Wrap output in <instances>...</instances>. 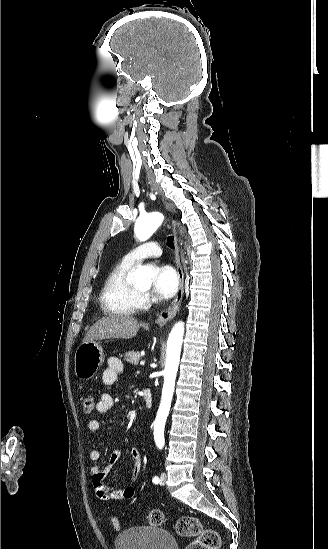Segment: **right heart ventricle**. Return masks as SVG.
I'll return each instance as SVG.
<instances>
[{"label":"right heart ventricle","instance_id":"1","mask_svg":"<svg viewBox=\"0 0 328 549\" xmlns=\"http://www.w3.org/2000/svg\"><path fill=\"white\" fill-rule=\"evenodd\" d=\"M138 263L124 256L109 274L100 294L101 319H137L145 303L132 287L131 275Z\"/></svg>","mask_w":328,"mask_h":549}]
</instances>
